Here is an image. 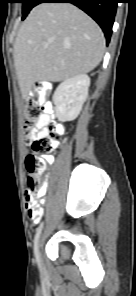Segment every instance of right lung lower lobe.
<instances>
[{
  "mask_svg": "<svg viewBox=\"0 0 136 296\" xmlns=\"http://www.w3.org/2000/svg\"><path fill=\"white\" fill-rule=\"evenodd\" d=\"M119 0H41L40 3H72L91 16L102 28L107 44Z\"/></svg>",
  "mask_w": 136,
  "mask_h": 296,
  "instance_id": "1",
  "label": "right lung lower lobe"
}]
</instances>
